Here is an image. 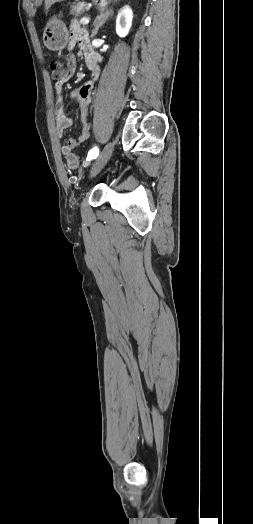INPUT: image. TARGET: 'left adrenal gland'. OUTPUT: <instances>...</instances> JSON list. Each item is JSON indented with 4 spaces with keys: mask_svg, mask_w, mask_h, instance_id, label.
I'll return each instance as SVG.
<instances>
[{
    "mask_svg": "<svg viewBox=\"0 0 253 524\" xmlns=\"http://www.w3.org/2000/svg\"><path fill=\"white\" fill-rule=\"evenodd\" d=\"M113 15V10L111 8L102 11L94 21V29L92 31L91 37H95L98 33L99 28L108 20L110 16Z\"/></svg>",
    "mask_w": 253,
    "mask_h": 524,
    "instance_id": "1",
    "label": "left adrenal gland"
}]
</instances>
